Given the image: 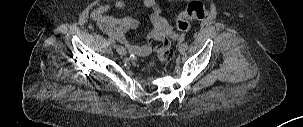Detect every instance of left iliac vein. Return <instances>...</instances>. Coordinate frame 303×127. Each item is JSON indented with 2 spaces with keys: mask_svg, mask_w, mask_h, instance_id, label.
<instances>
[{
  "mask_svg": "<svg viewBox=\"0 0 303 127\" xmlns=\"http://www.w3.org/2000/svg\"><path fill=\"white\" fill-rule=\"evenodd\" d=\"M185 48L183 47V45L181 44L180 46H179V52L182 54V55H184L185 54Z\"/></svg>",
  "mask_w": 303,
  "mask_h": 127,
  "instance_id": "4c4485c4",
  "label": "left iliac vein"
}]
</instances>
